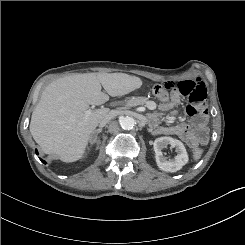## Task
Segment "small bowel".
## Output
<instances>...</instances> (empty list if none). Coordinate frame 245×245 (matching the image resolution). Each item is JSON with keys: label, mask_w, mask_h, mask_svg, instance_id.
Wrapping results in <instances>:
<instances>
[{"label": "small bowel", "mask_w": 245, "mask_h": 245, "mask_svg": "<svg viewBox=\"0 0 245 245\" xmlns=\"http://www.w3.org/2000/svg\"><path fill=\"white\" fill-rule=\"evenodd\" d=\"M163 89L166 92L172 91V98L170 102L161 105V110H170L174 105L180 103L181 96H186L191 104L186 107L184 116L192 117L193 121L191 123L181 122L173 126H158V120L153 116L151 123L154 133L175 135L191 147L206 144L209 140L208 110L204 104L207 90L201 79H186L179 83L169 80L164 82Z\"/></svg>", "instance_id": "small-bowel-1"}]
</instances>
